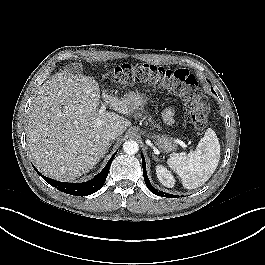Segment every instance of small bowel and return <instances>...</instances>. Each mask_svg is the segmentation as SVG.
Instances as JSON below:
<instances>
[{"label":"small bowel","instance_id":"small-bowel-1","mask_svg":"<svg viewBox=\"0 0 265 265\" xmlns=\"http://www.w3.org/2000/svg\"><path fill=\"white\" fill-rule=\"evenodd\" d=\"M164 118L165 120L170 123L172 122V110L171 109H167L164 113Z\"/></svg>","mask_w":265,"mask_h":265}]
</instances>
